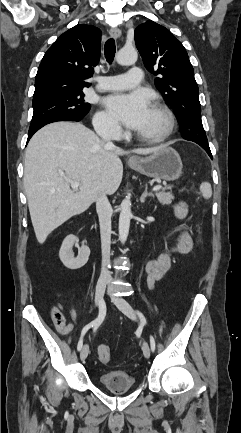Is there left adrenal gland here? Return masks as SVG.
Masks as SVG:
<instances>
[{"mask_svg":"<svg viewBox=\"0 0 241 433\" xmlns=\"http://www.w3.org/2000/svg\"><path fill=\"white\" fill-rule=\"evenodd\" d=\"M147 188H148V185L146 184L144 192L142 193V195L140 197L141 203H144L147 197H153L154 196L153 193L147 191Z\"/></svg>","mask_w":241,"mask_h":433,"instance_id":"a2214340","label":"left adrenal gland"}]
</instances>
